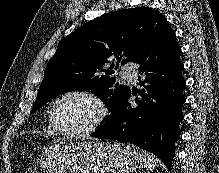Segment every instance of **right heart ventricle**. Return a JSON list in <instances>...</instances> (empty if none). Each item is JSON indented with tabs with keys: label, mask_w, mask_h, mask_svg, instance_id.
Segmentation results:
<instances>
[{
	"label": "right heart ventricle",
	"mask_w": 219,
	"mask_h": 173,
	"mask_svg": "<svg viewBox=\"0 0 219 173\" xmlns=\"http://www.w3.org/2000/svg\"><path fill=\"white\" fill-rule=\"evenodd\" d=\"M46 133L48 135L51 136H57L58 134L54 131V129L52 128V126L50 125V122L48 120L47 125H46V129H45Z\"/></svg>",
	"instance_id": "right-heart-ventricle-1"
}]
</instances>
